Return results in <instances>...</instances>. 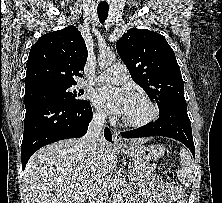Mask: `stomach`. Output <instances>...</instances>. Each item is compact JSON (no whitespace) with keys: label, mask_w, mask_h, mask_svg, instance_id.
<instances>
[{"label":"stomach","mask_w":222,"mask_h":203,"mask_svg":"<svg viewBox=\"0 0 222 203\" xmlns=\"http://www.w3.org/2000/svg\"><path fill=\"white\" fill-rule=\"evenodd\" d=\"M122 152L131 156L139 161H152L157 160L164 156L165 148L162 145H142V144H129L121 148Z\"/></svg>","instance_id":"1"}]
</instances>
